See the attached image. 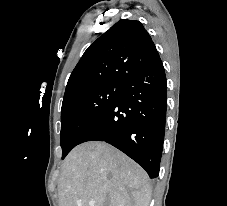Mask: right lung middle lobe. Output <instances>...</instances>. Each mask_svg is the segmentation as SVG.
Instances as JSON below:
<instances>
[{
    "instance_id": "right-lung-middle-lobe-1",
    "label": "right lung middle lobe",
    "mask_w": 227,
    "mask_h": 206,
    "mask_svg": "<svg viewBox=\"0 0 227 206\" xmlns=\"http://www.w3.org/2000/svg\"><path fill=\"white\" fill-rule=\"evenodd\" d=\"M123 82L97 84L63 99L61 109L62 159L78 144L96 120L120 96Z\"/></svg>"
}]
</instances>
